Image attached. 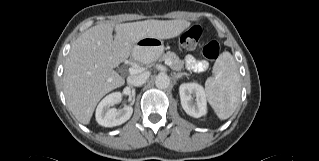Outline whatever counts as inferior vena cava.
<instances>
[{
    "instance_id": "1",
    "label": "inferior vena cava",
    "mask_w": 319,
    "mask_h": 161,
    "mask_svg": "<svg viewBox=\"0 0 319 161\" xmlns=\"http://www.w3.org/2000/svg\"><path fill=\"white\" fill-rule=\"evenodd\" d=\"M149 78V74L148 73H142V74H138V75H131L127 78V82L130 85L133 86H141L143 85L146 80Z\"/></svg>"
}]
</instances>
